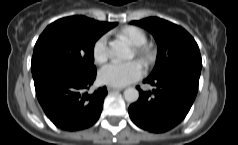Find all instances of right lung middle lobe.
Instances as JSON below:
<instances>
[{
	"mask_svg": "<svg viewBox=\"0 0 238 145\" xmlns=\"http://www.w3.org/2000/svg\"><path fill=\"white\" fill-rule=\"evenodd\" d=\"M105 32L107 30L98 21L85 16L59 19L47 26L40 35L31 65L59 61L85 71L95 70L94 45Z\"/></svg>",
	"mask_w": 238,
	"mask_h": 145,
	"instance_id": "dd1d6c3e",
	"label": "right lung middle lobe"
}]
</instances>
